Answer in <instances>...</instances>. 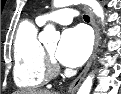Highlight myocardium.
Segmentation results:
<instances>
[{"mask_svg": "<svg viewBox=\"0 0 121 94\" xmlns=\"http://www.w3.org/2000/svg\"><path fill=\"white\" fill-rule=\"evenodd\" d=\"M43 58L45 76L48 78L56 76L60 72V68L56 64L53 54L43 48Z\"/></svg>", "mask_w": 121, "mask_h": 94, "instance_id": "obj_1", "label": "myocardium"}]
</instances>
